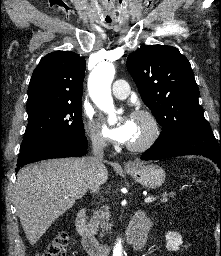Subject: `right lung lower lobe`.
Instances as JSON below:
<instances>
[{"label":"right lung lower lobe","instance_id":"right-lung-lower-lobe-1","mask_svg":"<svg viewBox=\"0 0 221 256\" xmlns=\"http://www.w3.org/2000/svg\"><path fill=\"white\" fill-rule=\"evenodd\" d=\"M87 146L84 134L63 133L50 136L20 150L17 166L44 159L83 156Z\"/></svg>","mask_w":221,"mask_h":256}]
</instances>
